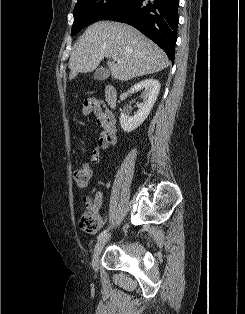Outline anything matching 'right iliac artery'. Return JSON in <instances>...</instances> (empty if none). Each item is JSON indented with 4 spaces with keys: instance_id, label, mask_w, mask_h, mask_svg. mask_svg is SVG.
<instances>
[{
    "instance_id": "82829eb1",
    "label": "right iliac artery",
    "mask_w": 245,
    "mask_h": 314,
    "mask_svg": "<svg viewBox=\"0 0 245 314\" xmlns=\"http://www.w3.org/2000/svg\"><path fill=\"white\" fill-rule=\"evenodd\" d=\"M107 234V230H103L97 237V239H101L102 237H104Z\"/></svg>"
}]
</instances>
